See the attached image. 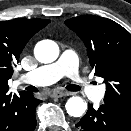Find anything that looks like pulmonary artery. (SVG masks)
Wrapping results in <instances>:
<instances>
[{
    "instance_id": "obj_1",
    "label": "pulmonary artery",
    "mask_w": 131,
    "mask_h": 131,
    "mask_svg": "<svg viewBox=\"0 0 131 131\" xmlns=\"http://www.w3.org/2000/svg\"><path fill=\"white\" fill-rule=\"evenodd\" d=\"M63 76L70 77L74 84L80 87V91L91 100H99L104 95V86H94L79 75L78 57L71 49L63 51L56 62L40 66L22 75L21 80L34 85H49Z\"/></svg>"
}]
</instances>
